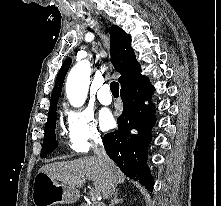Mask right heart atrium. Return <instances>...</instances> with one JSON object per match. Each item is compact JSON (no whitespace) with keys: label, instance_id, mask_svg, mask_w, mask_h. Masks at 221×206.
Masks as SVG:
<instances>
[{"label":"right heart atrium","instance_id":"d8ad5b80","mask_svg":"<svg viewBox=\"0 0 221 206\" xmlns=\"http://www.w3.org/2000/svg\"><path fill=\"white\" fill-rule=\"evenodd\" d=\"M67 140L78 153H85L101 142V134L88 110L67 111Z\"/></svg>","mask_w":221,"mask_h":206}]
</instances>
